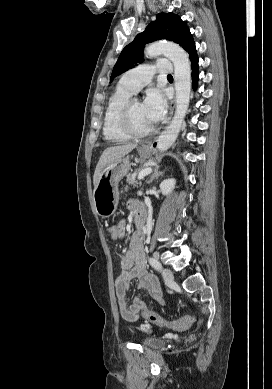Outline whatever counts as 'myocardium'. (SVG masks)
Here are the masks:
<instances>
[{
    "label": "myocardium",
    "instance_id": "f54148a6",
    "mask_svg": "<svg viewBox=\"0 0 272 389\" xmlns=\"http://www.w3.org/2000/svg\"><path fill=\"white\" fill-rule=\"evenodd\" d=\"M136 101L139 100L137 98H130L125 103L120 112L119 124L121 129L131 138H144L151 135L155 131V127L152 126L151 128L145 131H138L135 129L132 122V107Z\"/></svg>",
    "mask_w": 272,
    "mask_h": 389
}]
</instances>
